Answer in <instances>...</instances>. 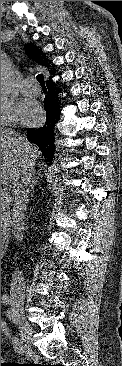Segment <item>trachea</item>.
Listing matches in <instances>:
<instances>
[{
	"label": "trachea",
	"mask_w": 122,
	"mask_h": 366,
	"mask_svg": "<svg viewBox=\"0 0 122 366\" xmlns=\"http://www.w3.org/2000/svg\"><path fill=\"white\" fill-rule=\"evenodd\" d=\"M37 81L39 82L41 87L46 88L43 74L37 75Z\"/></svg>",
	"instance_id": "1"
}]
</instances>
